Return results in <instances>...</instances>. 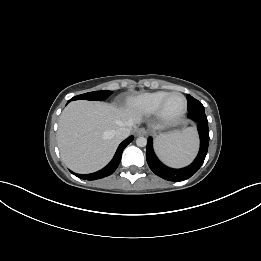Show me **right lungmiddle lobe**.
<instances>
[{
  "mask_svg": "<svg viewBox=\"0 0 261 261\" xmlns=\"http://www.w3.org/2000/svg\"><path fill=\"white\" fill-rule=\"evenodd\" d=\"M111 94H112V91H94V92H89V93L75 96L72 98V100L84 99V100L102 101V100H105L107 97H109Z\"/></svg>",
  "mask_w": 261,
  "mask_h": 261,
  "instance_id": "dd1d6c3e",
  "label": "right lung middle lobe"
}]
</instances>
